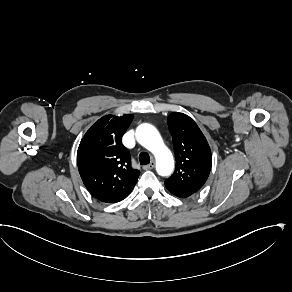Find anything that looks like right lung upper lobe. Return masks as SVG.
<instances>
[{"label":"right lung upper lobe","instance_id":"obj_1","mask_svg":"<svg viewBox=\"0 0 292 292\" xmlns=\"http://www.w3.org/2000/svg\"><path fill=\"white\" fill-rule=\"evenodd\" d=\"M133 117L106 115L89 128L79 144L80 176L88 191L102 202L114 203L126 198L140 175V171L131 167L129 151L121 142Z\"/></svg>","mask_w":292,"mask_h":292}]
</instances>
